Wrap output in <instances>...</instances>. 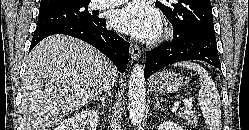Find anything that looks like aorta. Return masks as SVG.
Returning a JSON list of instances; mask_svg holds the SVG:
<instances>
[{
  "instance_id": "762f6f07",
  "label": "aorta",
  "mask_w": 249,
  "mask_h": 130,
  "mask_svg": "<svg viewBox=\"0 0 249 130\" xmlns=\"http://www.w3.org/2000/svg\"><path fill=\"white\" fill-rule=\"evenodd\" d=\"M128 107L131 124L140 125L146 108L144 67L141 64H136L130 74Z\"/></svg>"
}]
</instances>
